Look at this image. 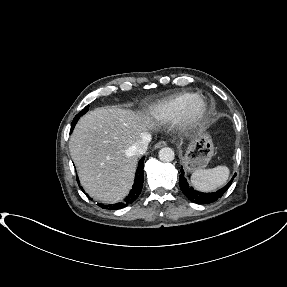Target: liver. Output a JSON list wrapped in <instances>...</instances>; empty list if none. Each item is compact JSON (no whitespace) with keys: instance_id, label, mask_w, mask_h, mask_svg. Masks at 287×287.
<instances>
[{"instance_id":"obj_1","label":"liver","mask_w":287,"mask_h":287,"mask_svg":"<svg viewBox=\"0 0 287 287\" xmlns=\"http://www.w3.org/2000/svg\"><path fill=\"white\" fill-rule=\"evenodd\" d=\"M153 125L148 111L99 107L75 126L69 149L81 185L94 199L120 202L132 187L138 157L130 148Z\"/></svg>"}]
</instances>
